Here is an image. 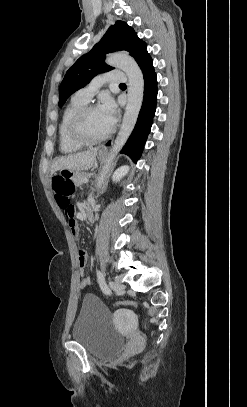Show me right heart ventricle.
Returning <instances> with one entry per match:
<instances>
[{
    "label": "right heart ventricle",
    "mask_w": 247,
    "mask_h": 407,
    "mask_svg": "<svg viewBox=\"0 0 247 407\" xmlns=\"http://www.w3.org/2000/svg\"><path fill=\"white\" fill-rule=\"evenodd\" d=\"M87 103L76 98H72L63 110L59 125L58 139L59 149L64 154H72L81 150L84 145L75 142L69 134V124L75 112Z\"/></svg>",
    "instance_id": "1"
}]
</instances>
